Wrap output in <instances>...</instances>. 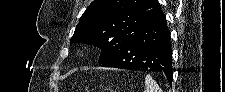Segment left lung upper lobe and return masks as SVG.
<instances>
[{
    "mask_svg": "<svg viewBox=\"0 0 225 92\" xmlns=\"http://www.w3.org/2000/svg\"><path fill=\"white\" fill-rule=\"evenodd\" d=\"M160 11L158 0H94L81 16L70 42L99 47V62L103 63Z\"/></svg>",
    "mask_w": 225,
    "mask_h": 92,
    "instance_id": "1",
    "label": "left lung upper lobe"
}]
</instances>
